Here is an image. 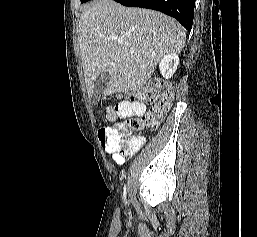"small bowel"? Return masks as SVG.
Returning a JSON list of instances; mask_svg holds the SVG:
<instances>
[{"label": "small bowel", "mask_w": 257, "mask_h": 237, "mask_svg": "<svg viewBox=\"0 0 257 237\" xmlns=\"http://www.w3.org/2000/svg\"><path fill=\"white\" fill-rule=\"evenodd\" d=\"M145 108V105L139 101H122L108 110V117L110 120L115 121L132 116H141ZM144 143L145 138L143 136H134L123 146L110 148L106 145L105 149L112 155L114 161L120 165L123 164L126 159L132 157Z\"/></svg>", "instance_id": "c3829d8e"}]
</instances>
